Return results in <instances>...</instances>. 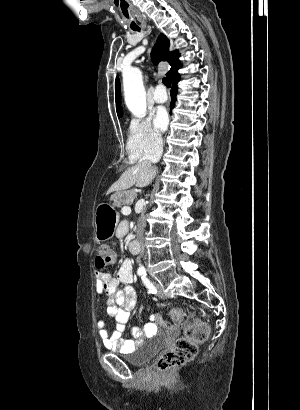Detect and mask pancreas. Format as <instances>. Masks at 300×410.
<instances>
[{"label":"pancreas","instance_id":"1","mask_svg":"<svg viewBox=\"0 0 300 410\" xmlns=\"http://www.w3.org/2000/svg\"><path fill=\"white\" fill-rule=\"evenodd\" d=\"M135 198V192H129V194L120 193L117 198L116 206L120 207L123 204H130Z\"/></svg>","mask_w":300,"mask_h":410}]
</instances>
